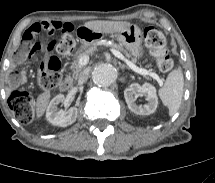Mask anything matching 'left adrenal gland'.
Listing matches in <instances>:
<instances>
[{"instance_id": "left-adrenal-gland-1", "label": "left adrenal gland", "mask_w": 215, "mask_h": 183, "mask_svg": "<svg viewBox=\"0 0 215 183\" xmlns=\"http://www.w3.org/2000/svg\"><path fill=\"white\" fill-rule=\"evenodd\" d=\"M120 68H121L122 70H124L125 68L129 69V67L126 66L125 64H120Z\"/></svg>"}]
</instances>
